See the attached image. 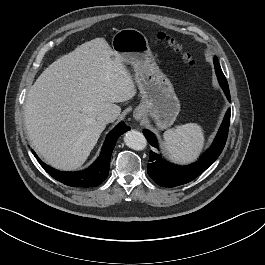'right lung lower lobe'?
<instances>
[{
	"instance_id": "obj_1",
	"label": "right lung lower lobe",
	"mask_w": 265,
	"mask_h": 265,
	"mask_svg": "<svg viewBox=\"0 0 265 265\" xmlns=\"http://www.w3.org/2000/svg\"><path fill=\"white\" fill-rule=\"evenodd\" d=\"M130 130L124 122H120L107 136L97 160L87 169L77 172L56 170L40 161L36 153H32L44 170L57 181L72 187H95L103 183L109 173L110 158L117 139L121 134Z\"/></svg>"
}]
</instances>
